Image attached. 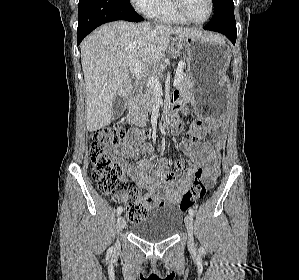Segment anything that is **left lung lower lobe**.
Returning a JSON list of instances; mask_svg holds the SVG:
<instances>
[{"instance_id": "left-lung-lower-lobe-1", "label": "left lung lower lobe", "mask_w": 299, "mask_h": 280, "mask_svg": "<svg viewBox=\"0 0 299 280\" xmlns=\"http://www.w3.org/2000/svg\"><path fill=\"white\" fill-rule=\"evenodd\" d=\"M214 16L204 27L206 30L220 32L228 37L235 44L237 37L236 21L234 17L233 0H215Z\"/></svg>"}]
</instances>
